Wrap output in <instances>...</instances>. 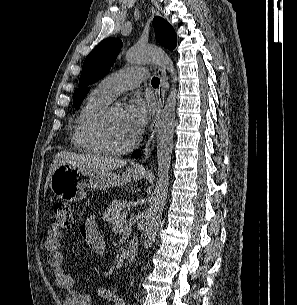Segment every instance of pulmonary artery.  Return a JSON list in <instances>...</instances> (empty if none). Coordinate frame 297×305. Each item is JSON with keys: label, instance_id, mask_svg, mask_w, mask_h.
Returning <instances> with one entry per match:
<instances>
[{"label": "pulmonary artery", "instance_id": "obj_1", "mask_svg": "<svg viewBox=\"0 0 297 305\" xmlns=\"http://www.w3.org/2000/svg\"><path fill=\"white\" fill-rule=\"evenodd\" d=\"M148 77V73L140 68H125L102 79L98 88L111 100L120 93L137 88Z\"/></svg>", "mask_w": 297, "mask_h": 305}]
</instances>
